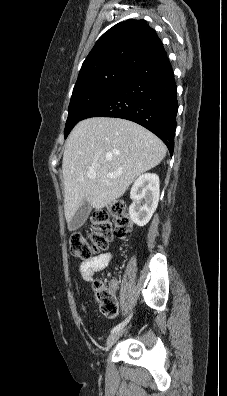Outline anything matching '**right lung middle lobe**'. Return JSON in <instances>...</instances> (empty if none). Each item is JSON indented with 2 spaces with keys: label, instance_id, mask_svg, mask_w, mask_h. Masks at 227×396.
Wrapping results in <instances>:
<instances>
[{
  "label": "right lung middle lobe",
  "instance_id": "1",
  "mask_svg": "<svg viewBox=\"0 0 227 396\" xmlns=\"http://www.w3.org/2000/svg\"><path fill=\"white\" fill-rule=\"evenodd\" d=\"M131 71L125 68H110L90 74L76 82L68 108L65 138L73 127L83 120L84 115L111 93Z\"/></svg>",
  "mask_w": 227,
  "mask_h": 396
}]
</instances>
